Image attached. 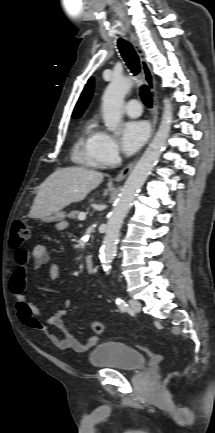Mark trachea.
<instances>
[{
  "instance_id": "obj_1",
  "label": "trachea",
  "mask_w": 215,
  "mask_h": 433,
  "mask_svg": "<svg viewBox=\"0 0 215 433\" xmlns=\"http://www.w3.org/2000/svg\"><path fill=\"white\" fill-rule=\"evenodd\" d=\"M118 45V49L121 53V56L123 57L124 61L126 62L128 68L131 70V72L134 75H137L140 72V61H139V57L136 53V51L134 50V48L132 47V45L124 40V39H118L117 42ZM140 96L141 99L143 101V103L151 108L152 107V96H151V92L148 88V86L143 85L140 88Z\"/></svg>"
}]
</instances>
